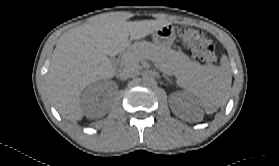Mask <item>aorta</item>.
Returning a JSON list of instances; mask_svg holds the SVG:
<instances>
[{"instance_id": "obj_1", "label": "aorta", "mask_w": 279, "mask_h": 166, "mask_svg": "<svg viewBox=\"0 0 279 166\" xmlns=\"http://www.w3.org/2000/svg\"><path fill=\"white\" fill-rule=\"evenodd\" d=\"M142 82L145 85H151L154 82V77L152 75L146 74L142 77Z\"/></svg>"}]
</instances>
